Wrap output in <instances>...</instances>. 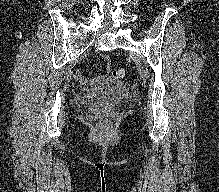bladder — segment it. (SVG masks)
I'll return each mask as SVG.
<instances>
[{
  "instance_id": "bladder-1",
  "label": "bladder",
  "mask_w": 219,
  "mask_h": 192,
  "mask_svg": "<svg viewBox=\"0 0 219 192\" xmlns=\"http://www.w3.org/2000/svg\"><path fill=\"white\" fill-rule=\"evenodd\" d=\"M123 85L108 82L98 91H87L80 94L76 103L87 111L107 110L113 107L117 101L125 96Z\"/></svg>"
}]
</instances>
